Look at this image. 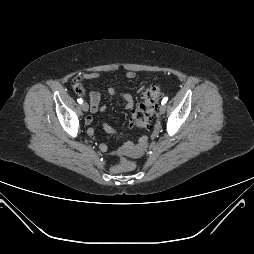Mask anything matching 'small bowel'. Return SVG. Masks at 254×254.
<instances>
[{"label": "small bowel", "mask_w": 254, "mask_h": 254, "mask_svg": "<svg viewBox=\"0 0 254 254\" xmlns=\"http://www.w3.org/2000/svg\"><path fill=\"white\" fill-rule=\"evenodd\" d=\"M125 76L128 79H133V78L136 77V73L132 70H128V71H126ZM98 77H99V73H97V72H92V73L84 75L85 79H96ZM143 89H144V86L140 87V89L138 91L141 92ZM108 93L111 96L119 95L125 101L126 109H132L133 108V106L135 104V100H134V97L131 94H129V93H119L116 90V88H114V87H110L108 89ZM100 99H101V95L98 91H92L90 93L89 100H90V113L91 114L86 116V118H85V123L87 125H90L93 122L92 114L97 113L99 111H101V112L105 111V107L100 106ZM104 127H105L106 131H108L109 133H115L114 128L111 127L109 124L105 123ZM87 133L90 136H94L95 135V130L93 128H89L87 130ZM144 143H145V139H141L136 144L126 145L125 148L127 150H129L130 152H138V151L141 150ZM99 148L102 152H107L108 151V146L105 143H101L99 145Z\"/></svg>", "instance_id": "c3829d8e"}]
</instances>
